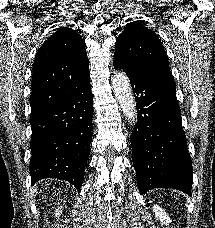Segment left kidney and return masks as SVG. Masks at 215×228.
<instances>
[{"label": "left kidney", "mask_w": 215, "mask_h": 228, "mask_svg": "<svg viewBox=\"0 0 215 228\" xmlns=\"http://www.w3.org/2000/svg\"><path fill=\"white\" fill-rule=\"evenodd\" d=\"M153 212L155 214L156 220H159L161 222L162 226H169L171 220L169 216H167L165 210L163 208H160V206H153Z\"/></svg>", "instance_id": "1"}]
</instances>
